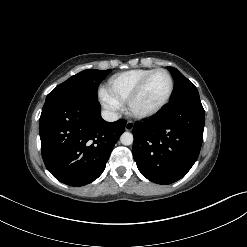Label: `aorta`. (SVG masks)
<instances>
[{"label": "aorta", "mask_w": 247, "mask_h": 247, "mask_svg": "<svg viewBox=\"0 0 247 247\" xmlns=\"http://www.w3.org/2000/svg\"><path fill=\"white\" fill-rule=\"evenodd\" d=\"M133 140V135L130 132H124L120 137L121 143L126 146L131 145L133 143Z\"/></svg>", "instance_id": "aorta-1"}]
</instances>
